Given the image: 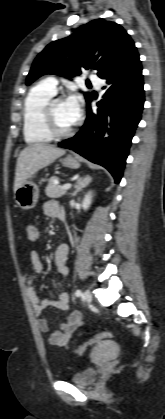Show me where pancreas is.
Instances as JSON below:
<instances>
[{"label": "pancreas", "mask_w": 165, "mask_h": 419, "mask_svg": "<svg viewBox=\"0 0 165 419\" xmlns=\"http://www.w3.org/2000/svg\"><path fill=\"white\" fill-rule=\"evenodd\" d=\"M57 180H59V178L56 176H52L48 180V185L45 189V193L50 198H58L66 194V190H63L61 185L54 183Z\"/></svg>", "instance_id": "cf45deb5"}]
</instances>
